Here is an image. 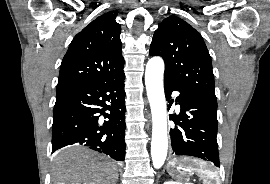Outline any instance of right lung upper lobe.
Returning a JSON list of instances; mask_svg holds the SVG:
<instances>
[{"label": "right lung upper lobe", "instance_id": "right-lung-upper-lobe-1", "mask_svg": "<svg viewBox=\"0 0 270 184\" xmlns=\"http://www.w3.org/2000/svg\"><path fill=\"white\" fill-rule=\"evenodd\" d=\"M117 13L107 12L87 25L69 45L57 91L106 80L123 72L124 58Z\"/></svg>", "mask_w": 270, "mask_h": 184}]
</instances>
